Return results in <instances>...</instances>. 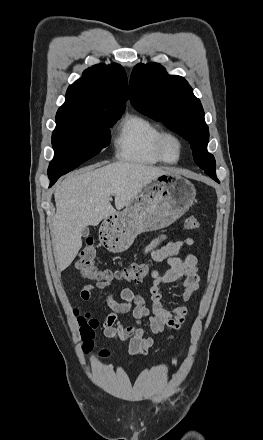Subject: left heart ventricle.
<instances>
[{
  "label": "left heart ventricle",
  "mask_w": 263,
  "mask_h": 440,
  "mask_svg": "<svg viewBox=\"0 0 263 440\" xmlns=\"http://www.w3.org/2000/svg\"><path fill=\"white\" fill-rule=\"evenodd\" d=\"M163 149H164L165 156L169 160H174L177 158L179 149H178V144L176 143V141L174 139L166 138L163 143Z\"/></svg>",
  "instance_id": "obj_1"
}]
</instances>
